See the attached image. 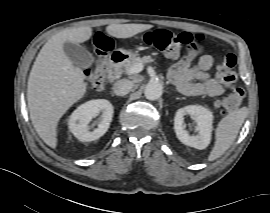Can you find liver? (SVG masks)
I'll use <instances>...</instances> for the list:
<instances>
[{
    "label": "liver",
    "mask_w": 270,
    "mask_h": 213,
    "mask_svg": "<svg viewBox=\"0 0 270 213\" xmlns=\"http://www.w3.org/2000/svg\"><path fill=\"white\" fill-rule=\"evenodd\" d=\"M152 27L149 24H112L106 27V32L116 38H130ZM92 33L88 26L58 32L42 47L31 69L27 85L30 119L40 138L51 148L57 147L60 118L87 90L83 71L66 56L63 44L83 43Z\"/></svg>",
    "instance_id": "1"
}]
</instances>
